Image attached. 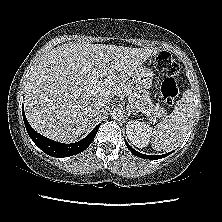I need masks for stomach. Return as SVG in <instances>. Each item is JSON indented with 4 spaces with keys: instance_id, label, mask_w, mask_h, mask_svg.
Listing matches in <instances>:
<instances>
[{
    "instance_id": "obj_1",
    "label": "stomach",
    "mask_w": 222,
    "mask_h": 222,
    "mask_svg": "<svg viewBox=\"0 0 222 222\" xmlns=\"http://www.w3.org/2000/svg\"><path fill=\"white\" fill-rule=\"evenodd\" d=\"M153 75L150 69L140 66L131 78L136 88L146 92L152 85Z\"/></svg>"
}]
</instances>
